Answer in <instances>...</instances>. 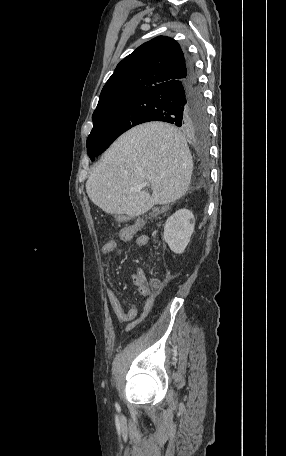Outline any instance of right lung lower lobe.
Listing matches in <instances>:
<instances>
[{"mask_svg": "<svg viewBox=\"0 0 286 456\" xmlns=\"http://www.w3.org/2000/svg\"><path fill=\"white\" fill-rule=\"evenodd\" d=\"M135 99L141 107V123L164 121L190 132L207 118L203 94L189 58L185 75L145 90Z\"/></svg>", "mask_w": 286, "mask_h": 456, "instance_id": "98d812e1", "label": "right lung lower lobe"}]
</instances>
